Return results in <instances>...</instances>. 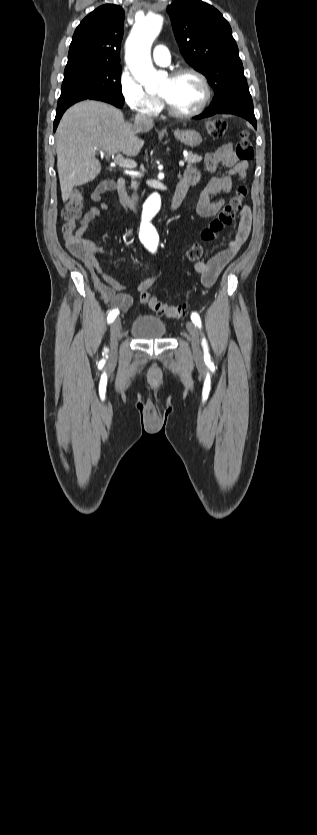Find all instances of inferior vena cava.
I'll use <instances>...</instances> for the list:
<instances>
[{
	"label": "inferior vena cava",
	"mask_w": 317,
	"mask_h": 835,
	"mask_svg": "<svg viewBox=\"0 0 317 835\" xmlns=\"http://www.w3.org/2000/svg\"><path fill=\"white\" fill-rule=\"evenodd\" d=\"M134 125L138 130L142 129H149L152 128L154 125L153 119L149 116H146L143 113H137L135 115ZM133 199L138 202V194L137 191L133 193Z\"/></svg>",
	"instance_id": "inferior-vena-cava-1"
}]
</instances>
